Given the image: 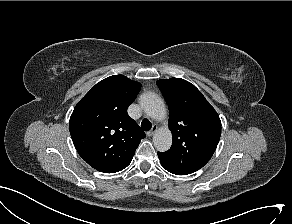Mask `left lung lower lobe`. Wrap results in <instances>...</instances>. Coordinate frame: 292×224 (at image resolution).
<instances>
[{
  "label": "left lung lower lobe",
  "mask_w": 292,
  "mask_h": 224,
  "mask_svg": "<svg viewBox=\"0 0 292 224\" xmlns=\"http://www.w3.org/2000/svg\"><path fill=\"white\" fill-rule=\"evenodd\" d=\"M162 164V166L167 170V171H169V172H171V173H173V174H176V175H187V174H185V173H183V172H180V171H177V170H175V169H172L171 167H169V166H167V165H165V164H163V163H161Z\"/></svg>",
  "instance_id": "0a47b994"
}]
</instances>
